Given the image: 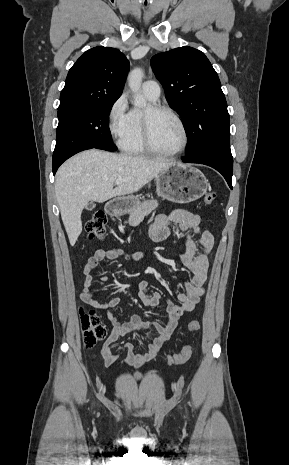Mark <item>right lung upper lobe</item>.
Returning a JSON list of instances; mask_svg holds the SVG:
<instances>
[{
  "instance_id": "obj_1",
  "label": "right lung upper lobe",
  "mask_w": 289,
  "mask_h": 465,
  "mask_svg": "<svg viewBox=\"0 0 289 465\" xmlns=\"http://www.w3.org/2000/svg\"><path fill=\"white\" fill-rule=\"evenodd\" d=\"M128 65L124 54L115 48L99 46L89 49L69 70L58 109L118 99Z\"/></svg>"
}]
</instances>
